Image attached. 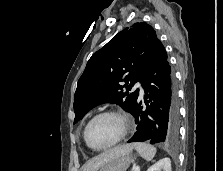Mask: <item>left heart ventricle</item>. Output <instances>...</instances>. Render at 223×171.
I'll use <instances>...</instances> for the list:
<instances>
[{
    "label": "left heart ventricle",
    "mask_w": 223,
    "mask_h": 171,
    "mask_svg": "<svg viewBox=\"0 0 223 171\" xmlns=\"http://www.w3.org/2000/svg\"><path fill=\"white\" fill-rule=\"evenodd\" d=\"M122 133L121 121L111 115L97 118L89 127L88 138L96 147H104L114 142Z\"/></svg>",
    "instance_id": "1"
}]
</instances>
